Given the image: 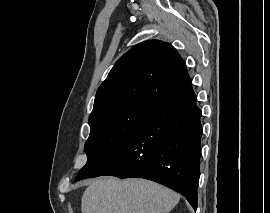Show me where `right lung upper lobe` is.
Listing matches in <instances>:
<instances>
[{"instance_id":"obj_1","label":"right lung upper lobe","mask_w":270,"mask_h":213,"mask_svg":"<svg viewBox=\"0 0 270 213\" xmlns=\"http://www.w3.org/2000/svg\"><path fill=\"white\" fill-rule=\"evenodd\" d=\"M190 82L186 65L172 45L160 40L144 41L115 63L97 90L89 119L132 101L157 104Z\"/></svg>"}]
</instances>
